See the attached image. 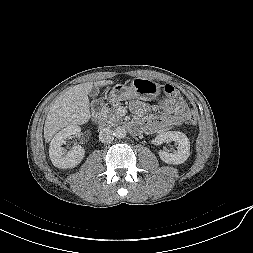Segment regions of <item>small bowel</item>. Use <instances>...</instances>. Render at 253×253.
Instances as JSON below:
<instances>
[{"label": "small bowel", "instance_id": "obj_1", "mask_svg": "<svg viewBox=\"0 0 253 253\" xmlns=\"http://www.w3.org/2000/svg\"><path fill=\"white\" fill-rule=\"evenodd\" d=\"M130 110L135 119L130 124L132 129L142 126L148 133H158L169 127H176L188 120L191 111L181 98H168L161 104V116H148L149 105L133 101Z\"/></svg>", "mask_w": 253, "mask_h": 253}]
</instances>
